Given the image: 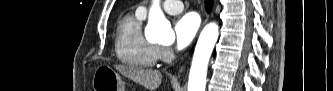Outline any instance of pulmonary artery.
<instances>
[{
  "instance_id": "e3ab8cb5",
  "label": "pulmonary artery",
  "mask_w": 333,
  "mask_h": 91,
  "mask_svg": "<svg viewBox=\"0 0 333 91\" xmlns=\"http://www.w3.org/2000/svg\"><path fill=\"white\" fill-rule=\"evenodd\" d=\"M162 7L169 14L180 13L183 10V8H184L182 2L178 1V0L164 1L162 3ZM137 11L140 14L145 15L147 13V11H148V8L146 6H140V7H138Z\"/></svg>"
}]
</instances>
